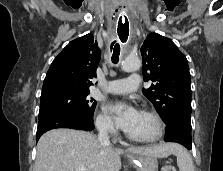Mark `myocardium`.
I'll return each instance as SVG.
<instances>
[{
    "label": "myocardium",
    "instance_id": "f54148a6",
    "mask_svg": "<svg viewBox=\"0 0 223 171\" xmlns=\"http://www.w3.org/2000/svg\"><path fill=\"white\" fill-rule=\"evenodd\" d=\"M139 112L153 118L157 126L156 134L153 137L141 139V138L133 137L129 135L128 133H126V137L133 142L142 143V144H149V143H154L158 141L165 132V124H164L163 119L157 112L150 109H141Z\"/></svg>",
    "mask_w": 223,
    "mask_h": 171
}]
</instances>
